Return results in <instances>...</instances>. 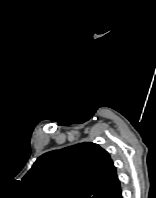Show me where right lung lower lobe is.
Here are the masks:
<instances>
[{"instance_id":"98d812e1","label":"right lung lower lobe","mask_w":156,"mask_h":198,"mask_svg":"<svg viewBox=\"0 0 156 198\" xmlns=\"http://www.w3.org/2000/svg\"><path fill=\"white\" fill-rule=\"evenodd\" d=\"M116 198H122L121 192L116 196Z\"/></svg>"}]
</instances>
